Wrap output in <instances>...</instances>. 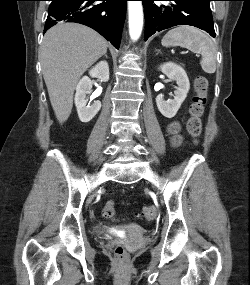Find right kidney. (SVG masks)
Wrapping results in <instances>:
<instances>
[{
    "label": "right kidney",
    "instance_id": "1",
    "mask_svg": "<svg viewBox=\"0 0 250 285\" xmlns=\"http://www.w3.org/2000/svg\"><path fill=\"white\" fill-rule=\"evenodd\" d=\"M92 78H98L103 82L109 80V66L106 61H101L89 71ZM92 81L88 76L82 77L76 87L75 105L81 122L87 123L91 121L101 108L100 101H94L93 104L87 106V94H90Z\"/></svg>",
    "mask_w": 250,
    "mask_h": 285
}]
</instances>
